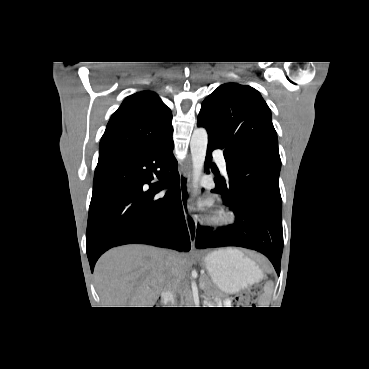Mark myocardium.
I'll list each match as a JSON object with an SVG mask.
<instances>
[{"label":"myocardium","mask_w":369,"mask_h":369,"mask_svg":"<svg viewBox=\"0 0 369 369\" xmlns=\"http://www.w3.org/2000/svg\"><path fill=\"white\" fill-rule=\"evenodd\" d=\"M235 216L223 206L215 207L207 217V223L213 228H227L233 224Z\"/></svg>","instance_id":"f54148a6"}]
</instances>
